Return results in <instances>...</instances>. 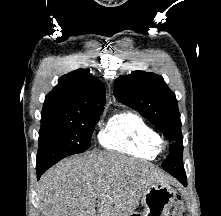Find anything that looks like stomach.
<instances>
[{"instance_id": "obj_1", "label": "stomach", "mask_w": 221, "mask_h": 216, "mask_svg": "<svg viewBox=\"0 0 221 216\" xmlns=\"http://www.w3.org/2000/svg\"><path fill=\"white\" fill-rule=\"evenodd\" d=\"M176 191L167 183H155L142 194L144 210L130 216H168L175 202Z\"/></svg>"}]
</instances>
